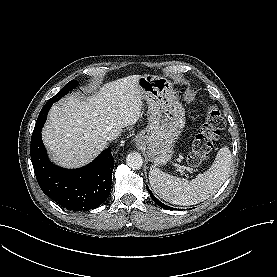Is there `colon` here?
<instances>
[{
  "label": "colon",
  "mask_w": 277,
  "mask_h": 277,
  "mask_svg": "<svg viewBox=\"0 0 277 277\" xmlns=\"http://www.w3.org/2000/svg\"><path fill=\"white\" fill-rule=\"evenodd\" d=\"M224 126L225 120L218 106H208L204 122L198 134L192 140L187 156L190 166L198 167L209 158L212 146L218 139Z\"/></svg>",
  "instance_id": "5ec220e1"
}]
</instances>
